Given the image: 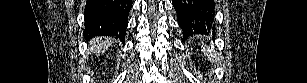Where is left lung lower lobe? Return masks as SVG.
Returning <instances> with one entry per match:
<instances>
[{
  "instance_id": "1",
  "label": "left lung lower lobe",
  "mask_w": 307,
  "mask_h": 83,
  "mask_svg": "<svg viewBox=\"0 0 307 83\" xmlns=\"http://www.w3.org/2000/svg\"><path fill=\"white\" fill-rule=\"evenodd\" d=\"M178 15V25L186 39L195 34L215 33V4L213 0H172Z\"/></svg>"
}]
</instances>
